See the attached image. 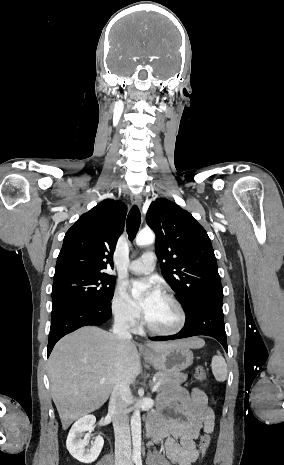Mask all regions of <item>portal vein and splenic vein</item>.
<instances>
[{"instance_id": "obj_1", "label": "portal vein and splenic vein", "mask_w": 284, "mask_h": 465, "mask_svg": "<svg viewBox=\"0 0 284 465\" xmlns=\"http://www.w3.org/2000/svg\"><path fill=\"white\" fill-rule=\"evenodd\" d=\"M106 379H100V383H105ZM159 385H161V383H157V385H155L154 389H152V393H154V391H157Z\"/></svg>"}]
</instances>
